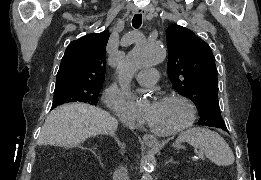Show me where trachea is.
I'll return each instance as SVG.
<instances>
[{"label":"trachea","instance_id":"3493384b","mask_svg":"<svg viewBox=\"0 0 261 180\" xmlns=\"http://www.w3.org/2000/svg\"><path fill=\"white\" fill-rule=\"evenodd\" d=\"M142 24V15L141 13H136L132 20V25L134 28H139Z\"/></svg>","mask_w":261,"mask_h":180}]
</instances>
